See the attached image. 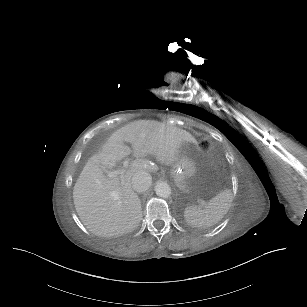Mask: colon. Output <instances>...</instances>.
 I'll use <instances>...</instances> for the list:
<instances>
[{
    "instance_id": "colon-1",
    "label": "colon",
    "mask_w": 307,
    "mask_h": 307,
    "mask_svg": "<svg viewBox=\"0 0 307 307\" xmlns=\"http://www.w3.org/2000/svg\"><path fill=\"white\" fill-rule=\"evenodd\" d=\"M198 147H199V149L202 150V151H207V150H209L210 147H211V142H210V140L207 139V138H202V139H200L199 142H198Z\"/></svg>"
}]
</instances>
